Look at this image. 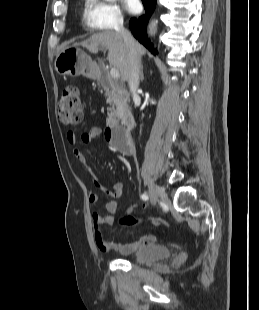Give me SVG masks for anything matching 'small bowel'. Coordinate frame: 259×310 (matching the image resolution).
<instances>
[{
    "instance_id": "obj_1",
    "label": "small bowel",
    "mask_w": 259,
    "mask_h": 310,
    "mask_svg": "<svg viewBox=\"0 0 259 310\" xmlns=\"http://www.w3.org/2000/svg\"><path fill=\"white\" fill-rule=\"evenodd\" d=\"M101 132L102 130L99 126H94L89 131L83 132L79 137V141L83 145H89L101 135ZM67 140L73 146L72 153L74 157L87 168L89 174L92 177L94 185L104 191L105 194L111 198H117L121 196L124 192V183L116 182L110 185L104 184L94 173L87 157L83 154L82 150L76 145V136L73 132L69 131L67 133ZM88 201L91 204H95L98 201V195L96 193H90L88 196ZM139 206V204H133L129 207V210H133ZM116 209V202L114 200H109L106 203V211L108 213L107 215H102L97 212L92 214V228L94 238L100 251L104 253L118 252L123 255H129L136 252L142 246L152 244L157 240V236L155 234L142 236L126 244H117L108 240L105 237L103 226L112 224V215L116 212Z\"/></svg>"
}]
</instances>
